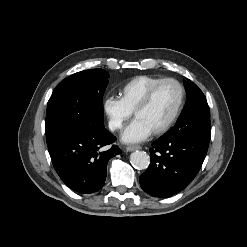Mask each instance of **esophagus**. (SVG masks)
<instances>
[{"label":"esophagus","mask_w":247,"mask_h":247,"mask_svg":"<svg viewBox=\"0 0 247 247\" xmlns=\"http://www.w3.org/2000/svg\"><path fill=\"white\" fill-rule=\"evenodd\" d=\"M137 149H141L140 146L138 145H129L126 147V151L130 152V151H134V150H137Z\"/></svg>","instance_id":"obj_1"}]
</instances>
